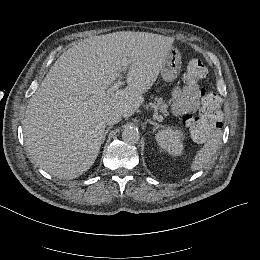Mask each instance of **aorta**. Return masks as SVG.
Returning <instances> with one entry per match:
<instances>
[{
  "label": "aorta",
  "mask_w": 260,
  "mask_h": 260,
  "mask_svg": "<svg viewBox=\"0 0 260 260\" xmlns=\"http://www.w3.org/2000/svg\"><path fill=\"white\" fill-rule=\"evenodd\" d=\"M122 139L129 144H136L140 139L139 131L134 126H127L123 129Z\"/></svg>",
  "instance_id": "aorta-1"
}]
</instances>
